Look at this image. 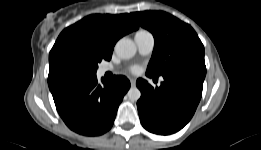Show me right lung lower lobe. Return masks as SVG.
Instances as JSON below:
<instances>
[{
	"mask_svg": "<svg viewBox=\"0 0 261 150\" xmlns=\"http://www.w3.org/2000/svg\"><path fill=\"white\" fill-rule=\"evenodd\" d=\"M102 83L94 76L68 82L51 92L59 115L71 130L96 136L112 127L130 82L124 76H114L102 79Z\"/></svg>",
	"mask_w": 261,
	"mask_h": 150,
	"instance_id": "right-lung-lower-lobe-1",
	"label": "right lung lower lobe"
}]
</instances>
